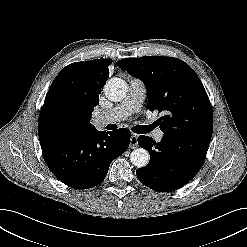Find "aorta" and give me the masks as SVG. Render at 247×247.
Instances as JSON below:
<instances>
[{
	"label": "aorta",
	"mask_w": 247,
	"mask_h": 247,
	"mask_svg": "<svg viewBox=\"0 0 247 247\" xmlns=\"http://www.w3.org/2000/svg\"><path fill=\"white\" fill-rule=\"evenodd\" d=\"M127 84L120 78H111L104 85L106 97L113 102L121 101L126 97ZM131 163L137 168L145 167L150 160L147 150L143 148L134 149L130 154Z\"/></svg>",
	"instance_id": "1"
}]
</instances>
